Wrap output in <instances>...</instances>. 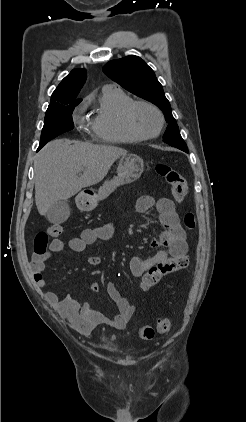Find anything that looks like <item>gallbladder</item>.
<instances>
[{
    "mask_svg": "<svg viewBox=\"0 0 246 422\" xmlns=\"http://www.w3.org/2000/svg\"><path fill=\"white\" fill-rule=\"evenodd\" d=\"M70 216V207L67 200H59L46 212V218L54 224L65 222Z\"/></svg>",
    "mask_w": 246,
    "mask_h": 422,
    "instance_id": "gallbladder-1",
    "label": "gallbladder"
}]
</instances>
